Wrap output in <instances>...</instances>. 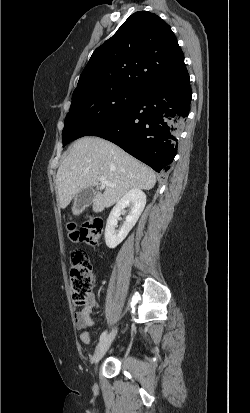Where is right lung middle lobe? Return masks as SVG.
<instances>
[{"mask_svg":"<svg viewBox=\"0 0 250 413\" xmlns=\"http://www.w3.org/2000/svg\"><path fill=\"white\" fill-rule=\"evenodd\" d=\"M140 90L130 87L92 89L73 94L62 132L63 146L107 123L138 96Z\"/></svg>","mask_w":250,"mask_h":413,"instance_id":"obj_1","label":"right lung middle lobe"}]
</instances>
